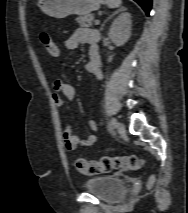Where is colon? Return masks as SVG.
<instances>
[{"mask_svg":"<svg viewBox=\"0 0 188 213\" xmlns=\"http://www.w3.org/2000/svg\"><path fill=\"white\" fill-rule=\"evenodd\" d=\"M39 38L47 53L52 57H58L59 50L50 35L42 31ZM142 163V159L135 155L103 156L97 160L78 159L75 162V167L85 175H98L101 173H110L115 170H136L142 166Z\"/></svg>","mask_w":188,"mask_h":213,"instance_id":"1","label":"colon"}]
</instances>
